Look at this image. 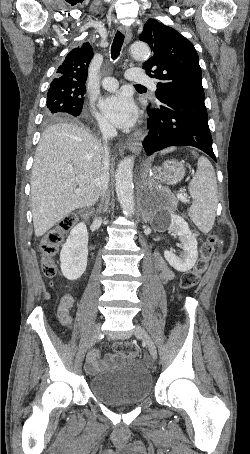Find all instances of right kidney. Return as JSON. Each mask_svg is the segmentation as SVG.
Returning a JSON list of instances; mask_svg holds the SVG:
<instances>
[{"instance_id": "ca27d5eb", "label": "right kidney", "mask_w": 250, "mask_h": 454, "mask_svg": "<svg viewBox=\"0 0 250 454\" xmlns=\"http://www.w3.org/2000/svg\"><path fill=\"white\" fill-rule=\"evenodd\" d=\"M88 232L81 222L70 232L60 252L61 271L68 280H76L82 276L87 267Z\"/></svg>"}]
</instances>
